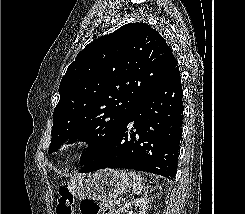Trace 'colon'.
Listing matches in <instances>:
<instances>
[{
	"label": "colon",
	"instance_id": "obj_1",
	"mask_svg": "<svg viewBox=\"0 0 245 214\" xmlns=\"http://www.w3.org/2000/svg\"><path fill=\"white\" fill-rule=\"evenodd\" d=\"M74 197L66 188L62 187L58 191L56 214H73ZM81 214H111L112 210L108 206H102L93 199H83L80 203Z\"/></svg>",
	"mask_w": 245,
	"mask_h": 214
}]
</instances>
